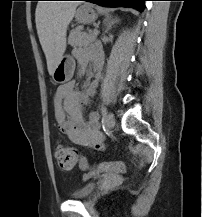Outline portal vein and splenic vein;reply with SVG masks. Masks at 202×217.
<instances>
[{
  "label": "portal vein and splenic vein",
  "mask_w": 202,
  "mask_h": 217,
  "mask_svg": "<svg viewBox=\"0 0 202 217\" xmlns=\"http://www.w3.org/2000/svg\"><path fill=\"white\" fill-rule=\"evenodd\" d=\"M94 34L97 35V34H98V31H97V30H94Z\"/></svg>",
  "instance_id": "18ae733b"
}]
</instances>
